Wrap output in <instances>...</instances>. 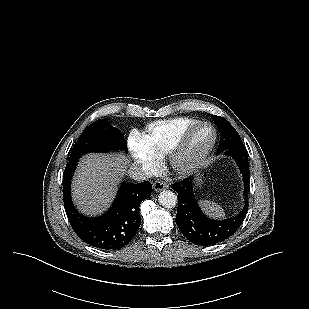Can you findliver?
Masks as SVG:
<instances>
[{"label":"liver","mask_w":309,"mask_h":309,"mask_svg":"<svg viewBox=\"0 0 309 309\" xmlns=\"http://www.w3.org/2000/svg\"><path fill=\"white\" fill-rule=\"evenodd\" d=\"M129 161L124 155L88 154L78 167L72 184L73 199L86 215L102 213L112 202L119 176Z\"/></svg>","instance_id":"1"}]
</instances>
